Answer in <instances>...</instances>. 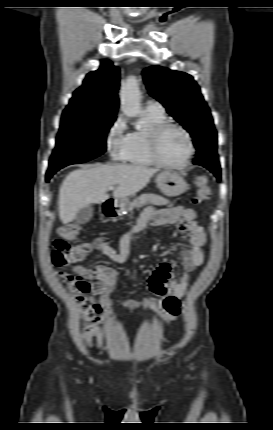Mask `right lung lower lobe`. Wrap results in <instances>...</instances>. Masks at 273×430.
Listing matches in <instances>:
<instances>
[{
    "label": "right lung lower lobe",
    "mask_w": 273,
    "mask_h": 430,
    "mask_svg": "<svg viewBox=\"0 0 273 430\" xmlns=\"http://www.w3.org/2000/svg\"><path fill=\"white\" fill-rule=\"evenodd\" d=\"M53 174L54 173H51V172L47 173V175H46V181L47 182H49V180H50V178L52 177Z\"/></svg>",
    "instance_id": "obj_1"
}]
</instances>
